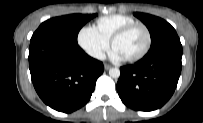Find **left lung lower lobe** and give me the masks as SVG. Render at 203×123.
<instances>
[{"mask_svg":"<svg viewBox=\"0 0 203 123\" xmlns=\"http://www.w3.org/2000/svg\"><path fill=\"white\" fill-rule=\"evenodd\" d=\"M180 40L150 50L138 62L120 68L117 92L128 107L152 111L173 95L181 73Z\"/></svg>","mask_w":203,"mask_h":123,"instance_id":"left-lung-lower-lobe-1","label":"left lung lower lobe"}]
</instances>
